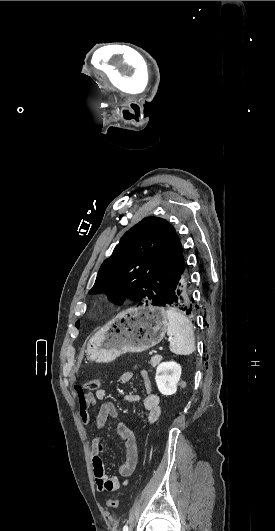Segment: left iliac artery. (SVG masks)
<instances>
[{
	"instance_id": "left-iliac-artery-1",
	"label": "left iliac artery",
	"mask_w": 275,
	"mask_h": 531,
	"mask_svg": "<svg viewBox=\"0 0 275 531\" xmlns=\"http://www.w3.org/2000/svg\"><path fill=\"white\" fill-rule=\"evenodd\" d=\"M123 531H128V526H127V525H125V526L123 527Z\"/></svg>"
}]
</instances>
